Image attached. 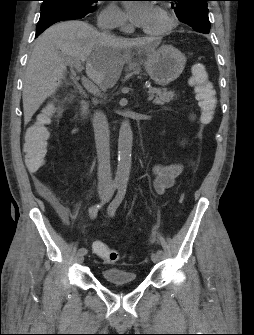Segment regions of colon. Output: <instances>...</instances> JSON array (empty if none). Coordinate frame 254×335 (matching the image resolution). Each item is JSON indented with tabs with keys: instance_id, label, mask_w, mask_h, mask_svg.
Wrapping results in <instances>:
<instances>
[{
	"instance_id": "5ec220e1",
	"label": "colon",
	"mask_w": 254,
	"mask_h": 335,
	"mask_svg": "<svg viewBox=\"0 0 254 335\" xmlns=\"http://www.w3.org/2000/svg\"><path fill=\"white\" fill-rule=\"evenodd\" d=\"M192 71L191 85L195 90L201 111V119L203 123L208 124L212 121L217 108L216 93L202 64H195ZM52 114L53 107L49 105L45 108L39 120L28 130L27 141H25L26 151H24L23 159L25 172H44L45 170V158H47L48 150L45 140L48 136V127ZM94 250L97 255L108 263L116 262L119 258L117 251L108 248L105 244L95 246Z\"/></svg>"
}]
</instances>
